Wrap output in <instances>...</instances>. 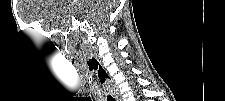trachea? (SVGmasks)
I'll use <instances>...</instances> for the list:
<instances>
[{
	"label": "trachea",
	"mask_w": 225,
	"mask_h": 101,
	"mask_svg": "<svg viewBox=\"0 0 225 101\" xmlns=\"http://www.w3.org/2000/svg\"><path fill=\"white\" fill-rule=\"evenodd\" d=\"M107 101H116L111 95L107 96Z\"/></svg>",
	"instance_id": "obj_1"
}]
</instances>
